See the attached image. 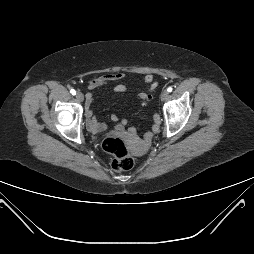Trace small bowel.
I'll list each match as a JSON object with an SVG mask.
<instances>
[{
	"instance_id": "1",
	"label": "small bowel",
	"mask_w": 254,
	"mask_h": 254,
	"mask_svg": "<svg viewBox=\"0 0 254 254\" xmlns=\"http://www.w3.org/2000/svg\"><path fill=\"white\" fill-rule=\"evenodd\" d=\"M126 77L124 72L117 73H109L100 76H96L89 80L88 87L91 90H95L103 85H106L110 82H117ZM144 83L149 85L148 90L152 91L156 86L157 82L154 81V76L152 74H146L144 76ZM113 90L117 93H122L127 90V87L124 84H117ZM147 94L142 92L139 94L140 99H145ZM94 102V96L92 93L88 92L86 94V104H85V114L87 118V128L93 134H99L107 128V125L99 122L97 116L95 115L92 104ZM113 122L116 123V130L118 133H122L123 126L126 124V120H120L116 115L112 116ZM160 126V119L158 115L154 116V124L152 126V131L145 134V139H149L151 137L152 132H157Z\"/></svg>"
}]
</instances>
